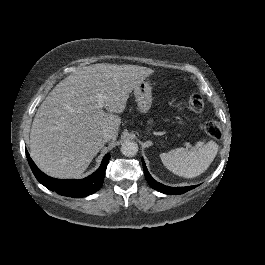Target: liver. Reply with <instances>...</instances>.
<instances>
[{"instance_id": "1", "label": "liver", "mask_w": 265, "mask_h": 265, "mask_svg": "<svg viewBox=\"0 0 265 265\" xmlns=\"http://www.w3.org/2000/svg\"><path fill=\"white\" fill-rule=\"evenodd\" d=\"M151 68L134 64L97 63L76 69L56 85L35 114L30 130V156L46 175L78 179L103 147V131L116 140L129 93ZM104 94L107 113L98 108Z\"/></svg>"}]
</instances>
